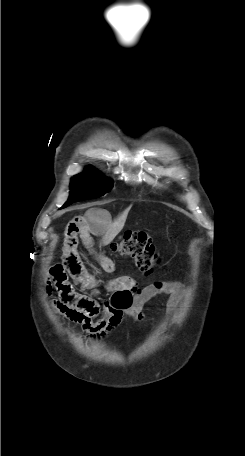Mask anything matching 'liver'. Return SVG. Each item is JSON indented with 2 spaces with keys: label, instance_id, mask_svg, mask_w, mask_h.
<instances>
[{
  "label": "liver",
  "instance_id": "6515ba94",
  "mask_svg": "<svg viewBox=\"0 0 245 456\" xmlns=\"http://www.w3.org/2000/svg\"><path fill=\"white\" fill-rule=\"evenodd\" d=\"M129 210L130 208H127L120 216H118L107 226L106 231L102 237L101 245H108L120 233L125 225Z\"/></svg>",
  "mask_w": 245,
  "mask_h": 456
}]
</instances>
